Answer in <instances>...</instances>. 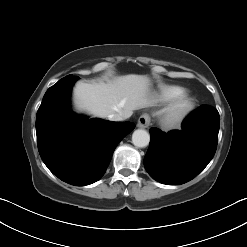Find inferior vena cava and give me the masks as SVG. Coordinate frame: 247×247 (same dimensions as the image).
<instances>
[{"mask_svg": "<svg viewBox=\"0 0 247 247\" xmlns=\"http://www.w3.org/2000/svg\"><path fill=\"white\" fill-rule=\"evenodd\" d=\"M132 115V112H118L109 114L107 117L111 121H122L124 119L129 118Z\"/></svg>", "mask_w": 247, "mask_h": 247, "instance_id": "inferior-vena-cava-1", "label": "inferior vena cava"}]
</instances>
